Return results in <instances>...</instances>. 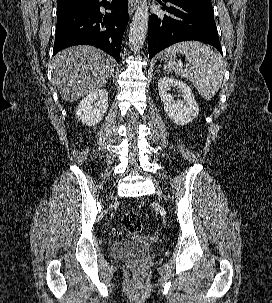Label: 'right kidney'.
<instances>
[{"label": "right kidney", "instance_id": "1", "mask_svg": "<svg viewBox=\"0 0 272 303\" xmlns=\"http://www.w3.org/2000/svg\"><path fill=\"white\" fill-rule=\"evenodd\" d=\"M108 109V92L106 89H99L91 92L78 104L76 117L87 126L97 125Z\"/></svg>", "mask_w": 272, "mask_h": 303}]
</instances>
